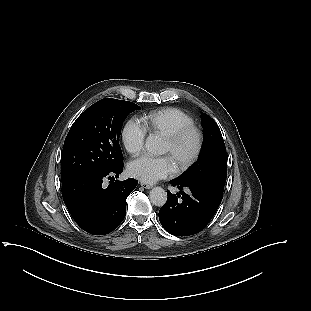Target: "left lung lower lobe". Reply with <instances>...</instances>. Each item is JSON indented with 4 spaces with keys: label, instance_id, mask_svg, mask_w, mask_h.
Listing matches in <instances>:
<instances>
[{
    "label": "left lung lower lobe",
    "instance_id": "left-lung-lower-lobe-1",
    "mask_svg": "<svg viewBox=\"0 0 311 311\" xmlns=\"http://www.w3.org/2000/svg\"><path fill=\"white\" fill-rule=\"evenodd\" d=\"M170 183L179 190L187 187L190 193L180 191L175 195L167 191V202L159 211L161 225L175 236H188L201 231L218 209L222 193L203 184L182 183L175 179Z\"/></svg>",
    "mask_w": 311,
    "mask_h": 311
}]
</instances>
